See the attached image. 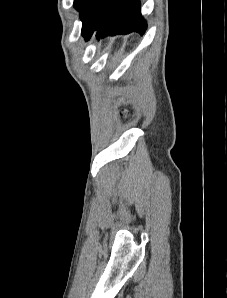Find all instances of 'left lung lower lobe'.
Masks as SVG:
<instances>
[{
  "instance_id": "obj_1",
  "label": "left lung lower lobe",
  "mask_w": 227,
  "mask_h": 298,
  "mask_svg": "<svg viewBox=\"0 0 227 298\" xmlns=\"http://www.w3.org/2000/svg\"><path fill=\"white\" fill-rule=\"evenodd\" d=\"M146 28L139 0H108L97 24L85 38L88 40L94 32L97 38L131 32L144 34Z\"/></svg>"
}]
</instances>
